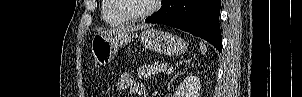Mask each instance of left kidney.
Segmentation results:
<instances>
[{
  "label": "left kidney",
  "instance_id": "left-kidney-1",
  "mask_svg": "<svg viewBox=\"0 0 302 97\" xmlns=\"http://www.w3.org/2000/svg\"><path fill=\"white\" fill-rule=\"evenodd\" d=\"M200 90V78L190 75L180 83L175 92V97H199Z\"/></svg>",
  "mask_w": 302,
  "mask_h": 97
}]
</instances>
